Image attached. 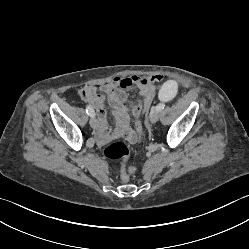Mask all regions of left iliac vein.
Returning <instances> with one entry per match:
<instances>
[{
	"label": "left iliac vein",
	"instance_id": "left-iliac-vein-1",
	"mask_svg": "<svg viewBox=\"0 0 249 249\" xmlns=\"http://www.w3.org/2000/svg\"><path fill=\"white\" fill-rule=\"evenodd\" d=\"M158 119H159V111L156 108H154L150 113V121L151 123L154 124L158 121Z\"/></svg>",
	"mask_w": 249,
	"mask_h": 249
}]
</instances>
